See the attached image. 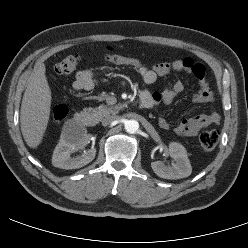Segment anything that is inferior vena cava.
<instances>
[{
  "instance_id": "602c4592",
  "label": "inferior vena cava",
  "mask_w": 248,
  "mask_h": 248,
  "mask_svg": "<svg viewBox=\"0 0 248 248\" xmlns=\"http://www.w3.org/2000/svg\"><path fill=\"white\" fill-rule=\"evenodd\" d=\"M118 119H119V116H117V115H109V116H106V117L102 120V125H103V126L110 125L111 123H114V122L117 121Z\"/></svg>"
}]
</instances>
